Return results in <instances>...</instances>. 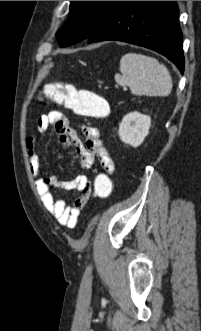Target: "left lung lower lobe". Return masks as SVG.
<instances>
[{
  "mask_svg": "<svg viewBox=\"0 0 201 331\" xmlns=\"http://www.w3.org/2000/svg\"><path fill=\"white\" fill-rule=\"evenodd\" d=\"M178 13L176 1H120L87 40L123 41L152 49L166 56L183 74Z\"/></svg>",
  "mask_w": 201,
  "mask_h": 331,
  "instance_id": "left-lung-lower-lobe-1",
  "label": "left lung lower lobe"
}]
</instances>
